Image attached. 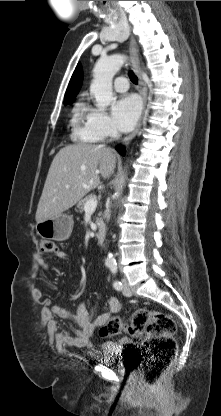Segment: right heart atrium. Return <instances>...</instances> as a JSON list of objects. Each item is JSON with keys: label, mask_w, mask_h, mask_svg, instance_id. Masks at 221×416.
I'll use <instances>...</instances> for the list:
<instances>
[{"label": "right heart atrium", "mask_w": 221, "mask_h": 416, "mask_svg": "<svg viewBox=\"0 0 221 416\" xmlns=\"http://www.w3.org/2000/svg\"><path fill=\"white\" fill-rule=\"evenodd\" d=\"M84 130L94 141H102L118 135L112 118L102 109L87 106Z\"/></svg>", "instance_id": "right-heart-atrium-1"}]
</instances>
